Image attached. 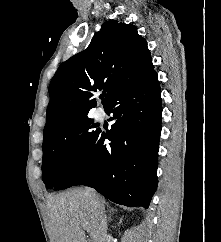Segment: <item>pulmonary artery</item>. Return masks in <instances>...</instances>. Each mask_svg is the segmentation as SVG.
I'll return each instance as SVG.
<instances>
[{
    "label": "pulmonary artery",
    "instance_id": "pulmonary-artery-1",
    "mask_svg": "<svg viewBox=\"0 0 221 242\" xmlns=\"http://www.w3.org/2000/svg\"><path fill=\"white\" fill-rule=\"evenodd\" d=\"M103 116H104L103 111H102V110H97V112H96V118H97L98 120H100V119L103 118Z\"/></svg>",
    "mask_w": 221,
    "mask_h": 242
}]
</instances>
